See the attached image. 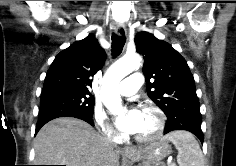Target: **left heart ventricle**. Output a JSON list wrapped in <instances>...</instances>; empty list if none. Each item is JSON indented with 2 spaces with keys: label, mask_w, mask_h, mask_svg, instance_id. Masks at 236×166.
<instances>
[{
  "label": "left heart ventricle",
  "mask_w": 236,
  "mask_h": 166,
  "mask_svg": "<svg viewBox=\"0 0 236 166\" xmlns=\"http://www.w3.org/2000/svg\"><path fill=\"white\" fill-rule=\"evenodd\" d=\"M156 117L152 112L142 111V126L136 135L144 136L153 132L156 128Z\"/></svg>",
  "instance_id": "obj_1"
}]
</instances>
